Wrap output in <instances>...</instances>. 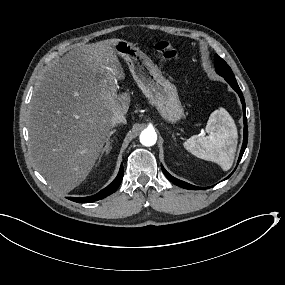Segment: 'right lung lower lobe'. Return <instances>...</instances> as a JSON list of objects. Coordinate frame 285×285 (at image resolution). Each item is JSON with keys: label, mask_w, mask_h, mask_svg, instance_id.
<instances>
[{"label": "right lung lower lobe", "mask_w": 285, "mask_h": 285, "mask_svg": "<svg viewBox=\"0 0 285 285\" xmlns=\"http://www.w3.org/2000/svg\"><path fill=\"white\" fill-rule=\"evenodd\" d=\"M123 174H124L123 165H121L119 173L117 177L113 180V182L109 184L106 188L102 189L97 194L89 197H68V199L78 203H89L103 199L108 195L114 193L118 189L123 179Z\"/></svg>", "instance_id": "right-lung-lower-lobe-1"}]
</instances>
